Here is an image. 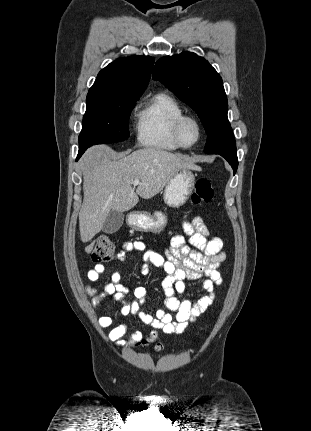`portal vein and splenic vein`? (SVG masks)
Returning a JSON list of instances; mask_svg holds the SVG:
<instances>
[{
  "instance_id": "1",
  "label": "portal vein and splenic vein",
  "mask_w": 311,
  "mask_h": 431,
  "mask_svg": "<svg viewBox=\"0 0 311 431\" xmlns=\"http://www.w3.org/2000/svg\"><path fill=\"white\" fill-rule=\"evenodd\" d=\"M131 184H133V186H139L140 180H133V182H131Z\"/></svg>"
}]
</instances>
